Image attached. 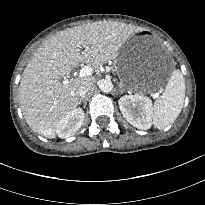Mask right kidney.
Wrapping results in <instances>:
<instances>
[{
    "mask_svg": "<svg viewBox=\"0 0 205 205\" xmlns=\"http://www.w3.org/2000/svg\"><path fill=\"white\" fill-rule=\"evenodd\" d=\"M84 111L81 108L67 112L60 118L56 127V133L60 138H68L74 135L82 126Z\"/></svg>",
    "mask_w": 205,
    "mask_h": 205,
    "instance_id": "ca27d5eb",
    "label": "right kidney"
}]
</instances>
